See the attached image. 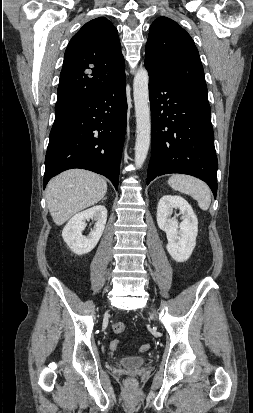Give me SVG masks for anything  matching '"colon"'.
Returning a JSON list of instances; mask_svg holds the SVG:
<instances>
[{
	"mask_svg": "<svg viewBox=\"0 0 253 413\" xmlns=\"http://www.w3.org/2000/svg\"><path fill=\"white\" fill-rule=\"evenodd\" d=\"M112 329H113V331H114L115 333L120 334V333L124 332V330H125V325H124V323H122V322H120V321H116V322H114V323L112 324ZM111 347H112L113 349H117V348L119 347V342H118L117 340L112 341V342H111ZM149 349H150V345H149V344H143V345H141V347H140V351H141V352H146V351H148ZM127 384H128L129 386H134V384H135L134 379L128 378V379H127Z\"/></svg>",
	"mask_w": 253,
	"mask_h": 413,
	"instance_id": "obj_1",
	"label": "colon"
}]
</instances>
